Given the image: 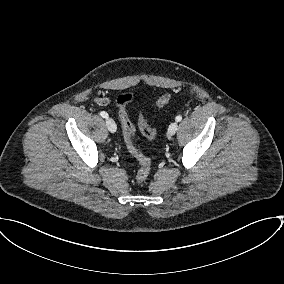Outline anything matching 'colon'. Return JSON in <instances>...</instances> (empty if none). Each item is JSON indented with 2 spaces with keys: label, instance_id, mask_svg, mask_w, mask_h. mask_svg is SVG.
Masks as SVG:
<instances>
[{
  "label": "colon",
  "instance_id": "1",
  "mask_svg": "<svg viewBox=\"0 0 284 284\" xmlns=\"http://www.w3.org/2000/svg\"><path fill=\"white\" fill-rule=\"evenodd\" d=\"M131 93H125L118 97V113L121 119L124 139L130 154L138 161L139 169L136 174V180L143 182L147 179L151 170L150 159L139 149L134 140V128L130 121L127 111V105L133 101ZM171 99V94H164L157 100L158 108H163ZM139 128L141 133L148 139H153L157 135V130L151 127L142 112L139 113Z\"/></svg>",
  "mask_w": 284,
  "mask_h": 284
}]
</instances>
